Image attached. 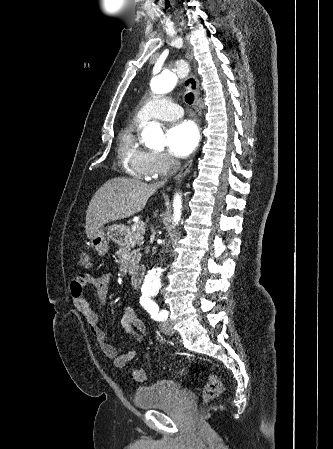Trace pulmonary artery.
I'll use <instances>...</instances> for the list:
<instances>
[{
    "mask_svg": "<svg viewBox=\"0 0 333 449\" xmlns=\"http://www.w3.org/2000/svg\"><path fill=\"white\" fill-rule=\"evenodd\" d=\"M183 115L180 105L166 97H155L146 102L136 114L140 123H146L152 119L171 121Z\"/></svg>",
    "mask_w": 333,
    "mask_h": 449,
    "instance_id": "e3ab8cb5",
    "label": "pulmonary artery"
}]
</instances>
